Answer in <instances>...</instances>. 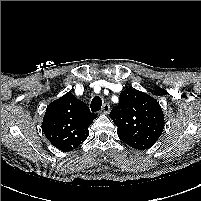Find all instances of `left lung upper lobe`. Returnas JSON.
Returning a JSON list of instances; mask_svg holds the SVG:
<instances>
[{"label":"left lung upper lobe","instance_id":"5c2ea615","mask_svg":"<svg viewBox=\"0 0 201 201\" xmlns=\"http://www.w3.org/2000/svg\"><path fill=\"white\" fill-rule=\"evenodd\" d=\"M109 117L118 127L119 138L135 149L150 148L164 128V115L159 103L133 88L121 92L118 107L111 110Z\"/></svg>","mask_w":201,"mask_h":201}]
</instances>
